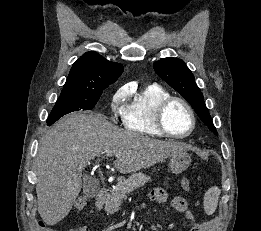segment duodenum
I'll return each mask as SVG.
<instances>
[{"instance_id":"410a0bca","label":"duodenum","mask_w":261,"mask_h":231,"mask_svg":"<svg viewBox=\"0 0 261 231\" xmlns=\"http://www.w3.org/2000/svg\"><path fill=\"white\" fill-rule=\"evenodd\" d=\"M108 193L107 187H102L97 196L95 197L96 206L100 207Z\"/></svg>"}]
</instances>
